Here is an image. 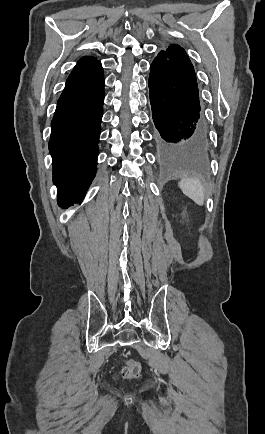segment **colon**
<instances>
[{
  "label": "colon",
  "instance_id": "5ec220e1",
  "mask_svg": "<svg viewBox=\"0 0 265 434\" xmlns=\"http://www.w3.org/2000/svg\"><path fill=\"white\" fill-rule=\"evenodd\" d=\"M140 373H141L140 364L135 360H130L123 367L121 376L124 379H136L139 377Z\"/></svg>",
  "mask_w": 265,
  "mask_h": 434
}]
</instances>
